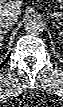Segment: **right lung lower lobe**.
I'll list each match as a JSON object with an SVG mask.
<instances>
[{
    "mask_svg": "<svg viewBox=\"0 0 63 107\" xmlns=\"http://www.w3.org/2000/svg\"><path fill=\"white\" fill-rule=\"evenodd\" d=\"M9 57H10V55L6 58V60L2 64H0V69L8 61Z\"/></svg>",
    "mask_w": 63,
    "mask_h": 107,
    "instance_id": "obj_1",
    "label": "right lung lower lobe"
}]
</instances>
